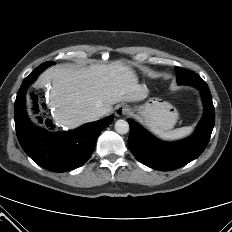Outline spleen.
Returning a JSON list of instances; mask_svg holds the SVG:
<instances>
[{"mask_svg":"<svg viewBox=\"0 0 232 232\" xmlns=\"http://www.w3.org/2000/svg\"><path fill=\"white\" fill-rule=\"evenodd\" d=\"M193 129L190 126L177 128L159 135V138L168 141L179 140L189 136L192 133Z\"/></svg>","mask_w":232,"mask_h":232,"instance_id":"3e777b00","label":"spleen"}]
</instances>
